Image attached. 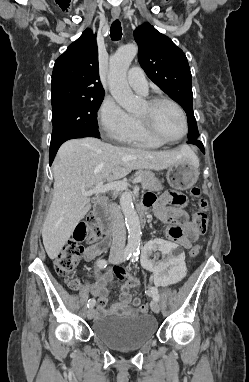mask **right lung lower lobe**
Segmentation results:
<instances>
[{"label": "right lung lower lobe", "mask_w": 249, "mask_h": 382, "mask_svg": "<svg viewBox=\"0 0 249 382\" xmlns=\"http://www.w3.org/2000/svg\"><path fill=\"white\" fill-rule=\"evenodd\" d=\"M82 137H96L100 138L99 132H86V131H80V132H73L69 133L67 135H64L61 138H58L56 140H52L50 144V153H49V158H50V165L52 164L54 157L57 153V150L59 147L67 140L69 139H74V138H82Z\"/></svg>", "instance_id": "obj_1"}]
</instances>
